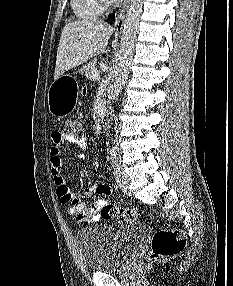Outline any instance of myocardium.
Wrapping results in <instances>:
<instances>
[{
	"mask_svg": "<svg viewBox=\"0 0 233 286\" xmlns=\"http://www.w3.org/2000/svg\"><path fill=\"white\" fill-rule=\"evenodd\" d=\"M98 1L103 8H108L113 3H115L113 0H98Z\"/></svg>",
	"mask_w": 233,
	"mask_h": 286,
	"instance_id": "obj_1",
	"label": "myocardium"
}]
</instances>
